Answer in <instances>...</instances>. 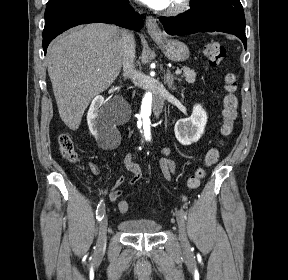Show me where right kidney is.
<instances>
[{
    "label": "right kidney",
    "instance_id": "1",
    "mask_svg": "<svg viewBox=\"0 0 288 280\" xmlns=\"http://www.w3.org/2000/svg\"><path fill=\"white\" fill-rule=\"evenodd\" d=\"M103 105L104 98L102 96H96L90 105L87 122L89 130L95 137L98 145L103 149H107L111 148V141L116 131L114 127L106 126L104 114L100 111Z\"/></svg>",
    "mask_w": 288,
    "mask_h": 280
}]
</instances>
